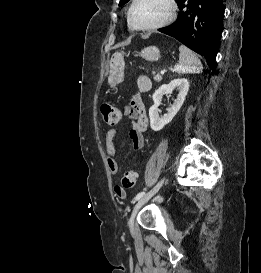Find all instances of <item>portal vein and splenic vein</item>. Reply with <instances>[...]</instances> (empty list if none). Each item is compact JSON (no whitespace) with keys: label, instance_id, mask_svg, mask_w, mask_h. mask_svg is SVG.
I'll use <instances>...</instances> for the list:
<instances>
[{"label":"portal vein and splenic vein","instance_id":"1","mask_svg":"<svg viewBox=\"0 0 261 273\" xmlns=\"http://www.w3.org/2000/svg\"><path fill=\"white\" fill-rule=\"evenodd\" d=\"M165 73V70H161V74H164Z\"/></svg>","mask_w":261,"mask_h":273}]
</instances>
